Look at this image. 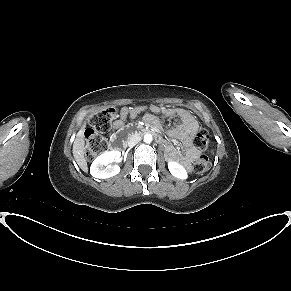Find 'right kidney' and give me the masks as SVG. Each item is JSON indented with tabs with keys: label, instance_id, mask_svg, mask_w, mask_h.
Here are the masks:
<instances>
[{
	"label": "right kidney",
	"instance_id": "1",
	"mask_svg": "<svg viewBox=\"0 0 291 291\" xmlns=\"http://www.w3.org/2000/svg\"><path fill=\"white\" fill-rule=\"evenodd\" d=\"M121 152L118 150L108 151L98 156L90 167V174L99 179H106L117 175L120 167L117 164L109 165L111 162H119Z\"/></svg>",
	"mask_w": 291,
	"mask_h": 291
}]
</instances>
